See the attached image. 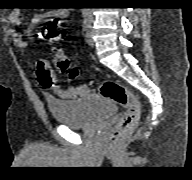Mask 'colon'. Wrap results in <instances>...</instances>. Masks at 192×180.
<instances>
[{"label":"colon","mask_w":192,"mask_h":180,"mask_svg":"<svg viewBox=\"0 0 192 180\" xmlns=\"http://www.w3.org/2000/svg\"><path fill=\"white\" fill-rule=\"evenodd\" d=\"M40 37L47 41H61L64 34L54 22H47L40 30ZM54 63L57 69L67 73L70 79L78 77V70L71 66L70 60L62 51L55 53ZM97 88L101 96L125 108V113L118 121L111 137V140L116 142L137 125L141 115L140 102L129 88L114 80L103 81Z\"/></svg>","instance_id":"obj_1"}]
</instances>
